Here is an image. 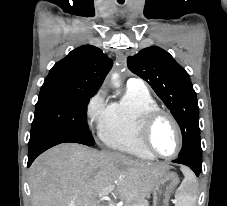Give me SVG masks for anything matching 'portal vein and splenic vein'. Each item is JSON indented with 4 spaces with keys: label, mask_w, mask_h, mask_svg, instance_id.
<instances>
[{
    "label": "portal vein and splenic vein",
    "mask_w": 227,
    "mask_h": 206,
    "mask_svg": "<svg viewBox=\"0 0 227 206\" xmlns=\"http://www.w3.org/2000/svg\"><path fill=\"white\" fill-rule=\"evenodd\" d=\"M113 189H114V186L105 188L104 190H102V191L100 192V195L106 194V193H108L109 191H112ZM69 206H75V205H74V203H71ZM109 206H114V205L111 204V203H109Z\"/></svg>",
    "instance_id": "obj_1"
}]
</instances>
